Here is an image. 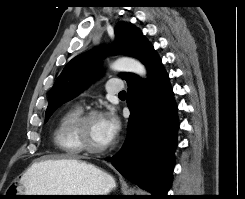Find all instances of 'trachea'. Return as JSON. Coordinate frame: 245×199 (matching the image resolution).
Wrapping results in <instances>:
<instances>
[{
    "label": "trachea",
    "instance_id": "3493384b",
    "mask_svg": "<svg viewBox=\"0 0 245 199\" xmlns=\"http://www.w3.org/2000/svg\"><path fill=\"white\" fill-rule=\"evenodd\" d=\"M118 96H126V92L125 91H122L118 94Z\"/></svg>",
    "mask_w": 245,
    "mask_h": 199
}]
</instances>
